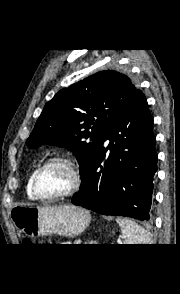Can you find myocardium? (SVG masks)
<instances>
[{
	"mask_svg": "<svg viewBox=\"0 0 180 294\" xmlns=\"http://www.w3.org/2000/svg\"><path fill=\"white\" fill-rule=\"evenodd\" d=\"M55 164H62L70 170L72 175V184L70 188L63 193L53 195V196H44L39 192V189H38L39 176L46 168ZM81 186H82V175H81L80 169L78 165L75 163V161L67 156H57V157H52L48 159L38 169L35 170L32 177V192L34 196L41 201H57V200L71 197L80 190Z\"/></svg>",
	"mask_w": 180,
	"mask_h": 294,
	"instance_id": "myocardium-1",
	"label": "myocardium"
}]
</instances>
